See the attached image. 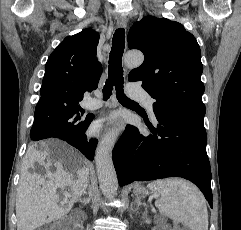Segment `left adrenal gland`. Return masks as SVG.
Returning <instances> with one entry per match:
<instances>
[{
	"instance_id": "1",
	"label": "left adrenal gland",
	"mask_w": 241,
	"mask_h": 230,
	"mask_svg": "<svg viewBox=\"0 0 241 230\" xmlns=\"http://www.w3.org/2000/svg\"><path fill=\"white\" fill-rule=\"evenodd\" d=\"M134 203H136L137 206H136V208L133 211H136L139 208V206L142 205V202H141L140 199H135Z\"/></svg>"
}]
</instances>
